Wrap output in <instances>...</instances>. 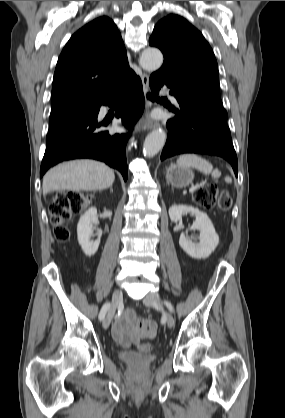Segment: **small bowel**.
Returning a JSON list of instances; mask_svg holds the SVG:
<instances>
[{
  "mask_svg": "<svg viewBox=\"0 0 285 418\" xmlns=\"http://www.w3.org/2000/svg\"><path fill=\"white\" fill-rule=\"evenodd\" d=\"M156 323L152 319H141L134 310L127 309L125 314L117 320L111 330L112 337L123 348L137 344L140 339L154 338Z\"/></svg>",
  "mask_w": 285,
  "mask_h": 418,
  "instance_id": "c3829d8e",
  "label": "small bowel"
}]
</instances>
